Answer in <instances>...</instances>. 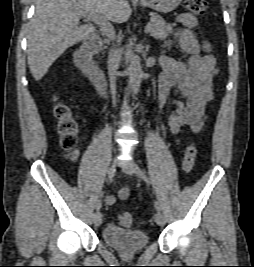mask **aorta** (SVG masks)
Masks as SVG:
<instances>
[{
    "label": "aorta",
    "instance_id": "1",
    "mask_svg": "<svg viewBox=\"0 0 254 267\" xmlns=\"http://www.w3.org/2000/svg\"><path fill=\"white\" fill-rule=\"evenodd\" d=\"M129 67H128V73H129V84L131 86L132 92L134 95H137L140 89L141 85V79H142V67L140 63V58L138 55H134L133 53L129 54Z\"/></svg>",
    "mask_w": 254,
    "mask_h": 267
}]
</instances>
